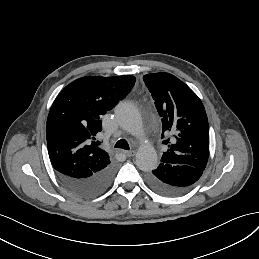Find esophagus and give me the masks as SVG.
I'll return each mask as SVG.
<instances>
[{"label": "esophagus", "instance_id": "34e87169", "mask_svg": "<svg viewBox=\"0 0 259 259\" xmlns=\"http://www.w3.org/2000/svg\"><path fill=\"white\" fill-rule=\"evenodd\" d=\"M122 153L126 156V157H133L136 154L135 150H130V151H122Z\"/></svg>", "mask_w": 259, "mask_h": 259}]
</instances>
